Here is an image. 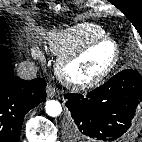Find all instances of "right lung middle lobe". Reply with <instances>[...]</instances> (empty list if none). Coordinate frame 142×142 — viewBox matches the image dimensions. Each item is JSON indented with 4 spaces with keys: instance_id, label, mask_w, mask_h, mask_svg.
<instances>
[{
    "instance_id": "1",
    "label": "right lung middle lobe",
    "mask_w": 142,
    "mask_h": 142,
    "mask_svg": "<svg viewBox=\"0 0 142 142\" xmlns=\"http://www.w3.org/2000/svg\"><path fill=\"white\" fill-rule=\"evenodd\" d=\"M4 34V26H3V19L0 17V49L5 48L8 49L6 46L3 45L5 42Z\"/></svg>"
}]
</instances>
